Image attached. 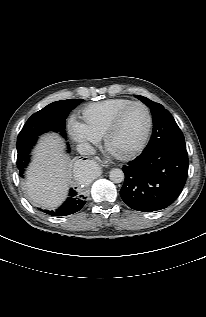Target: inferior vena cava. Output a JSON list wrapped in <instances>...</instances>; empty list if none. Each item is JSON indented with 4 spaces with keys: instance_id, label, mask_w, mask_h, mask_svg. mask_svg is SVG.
<instances>
[{
    "instance_id": "obj_1",
    "label": "inferior vena cava",
    "mask_w": 206,
    "mask_h": 317,
    "mask_svg": "<svg viewBox=\"0 0 206 317\" xmlns=\"http://www.w3.org/2000/svg\"><path fill=\"white\" fill-rule=\"evenodd\" d=\"M77 151L81 155H93V154H95L94 148L89 143L78 144Z\"/></svg>"
}]
</instances>
